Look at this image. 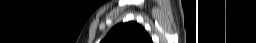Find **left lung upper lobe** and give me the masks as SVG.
Wrapping results in <instances>:
<instances>
[{
	"instance_id": "left-lung-upper-lobe-1",
	"label": "left lung upper lobe",
	"mask_w": 256,
	"mask_h": 43,
	"mask_svg": "<svg viewBox=\"0 0 256 43\" xmlns=\"http://www.w3.org/2000/svg\"><path fill=\"white\" fill-rule=\"evenodd\" d=\"M101 43H152L145 29L136 22L120 23Z\"/></svg>"
}]
</instances>
